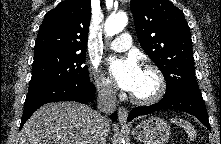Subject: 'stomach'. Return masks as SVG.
<instances>
[{"label": "stomach", "mask_w": 221, "mask_h": 144, "mask_svg": "<svg viewBox=\"0 0 221 144\" xmlns=\"http://www.w3.org/2000/svg\"><path fill=\"white\" fill-rule=\"evenodd\" d=\"M131 134L144 144H165L170 138V126L160 117L151 116L132 127Z\"/></svg>", "instance_id": "obj_1"}]
</instances>
